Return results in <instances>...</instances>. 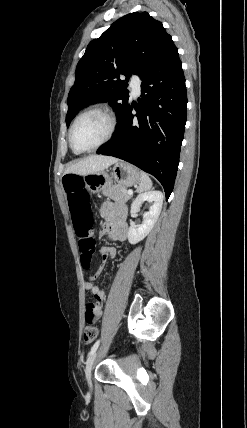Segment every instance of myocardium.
Segmentation results:
<instances>
[{
  "mask_svg": "<svg viewBox=\"0 0 247 428\" xmlns=\"http://www.w3.org/2000/svg\"><path fill=\"white\" fill-rule=\"evenodd\" d=\"M93 112H98L103 114L109 123V129L108 132L106 134V136L104 137V139L102 141H100L98 144H96L93 147L90 148H78L74 141H73V132H74V128L77 124V122L79 121V119L89 113H93ZM117 129V117L115 115V113L108 107L106 106H102V105H95V106H91L86 108L85 110L81 111L73 120L70 129H69V143L70 146L73 150L80 152V153H84V152H91V151H95L97 149H99L100 147H102L103 145H105L106 143H108L112 137L114 136L115 132Z\"/></svg>",
  "mask_w": 247,
  "mask_h": 428,
  "instance_id": "1",
  "label": "myocardium"
}]
</instances>
